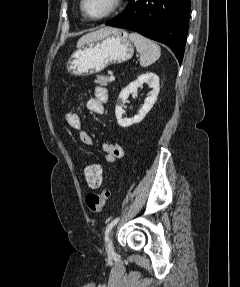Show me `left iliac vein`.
Here are the masks:
<instances>
[{
	"label": "left iliac vein",
	"mask_w": 240,
	"mask_h": 287,
	"mask_svg": "<svg viewBox=\"0 0 240 287\" xmlns=\"http://www.w3.org/2000/svg\"><path fill=\"white\" fill-rule=\"evenodd\" d=\"M113 233L111 234L109 243H108V252H113V240H112Z\"/></svg>",
	"instance_id": "4c4485c4"
}]
</instances>
